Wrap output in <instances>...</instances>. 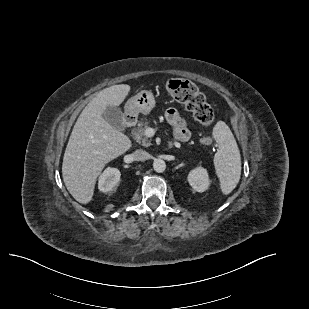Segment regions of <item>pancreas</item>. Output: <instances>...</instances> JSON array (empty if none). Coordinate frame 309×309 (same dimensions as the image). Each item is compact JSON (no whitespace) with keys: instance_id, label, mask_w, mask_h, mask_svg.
Here are the masks:
<instances>
[{"instance_id":"cf45deb5","label":"pancreas","mask_w":309,"mask_h":309,"mask_svg":"<svg viewBox=\"0 0 309 309\" xmlns=\"http://www.w3.org/2000/svg\"><path fill=\"white\" fill-rule=\"evenodd\" d=\"M149 126V121H141L138 127L132 130L133 138L142 146L149 147L151 145L150 139L146 136L145 130Z\"/></svg>"}]
</instances>
